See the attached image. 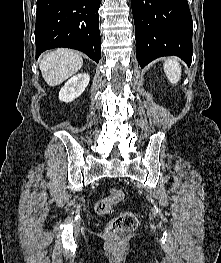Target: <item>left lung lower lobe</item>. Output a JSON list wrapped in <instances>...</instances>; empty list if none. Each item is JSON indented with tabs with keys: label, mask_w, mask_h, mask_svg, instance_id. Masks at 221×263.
Listing matches in <instances>:
<instances>
[{
	"label": "left lung lower lobe",
	"mask_w": 221,
	"mask_h": 263,
	"mask_svg": "<svg viewBox=\"0 0 221 263\" xmlns=\"http://www.w3.org/2000/svg\"><path fill=\"white\" fill-rule=\"evenodd\" d=\"M137 60L144 68L158 57L192 60V17L187 0H132Z\"/></svg>",
	"instance_id": "1"
}]
</instances>
